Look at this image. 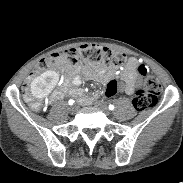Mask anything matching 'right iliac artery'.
<instances>
[{
  "mask_svg": "<svg viewBox=\"0 0 183 183\" xmlns=\"http://www.w3.org/2000/svg\"><path fill=\"white\" fill-rule=\"evenodd\" d=\"M68 103H69V105H73V104H74V100H73V99H70V100L68 101Z\"/></svg>",
  "mask_w": 183,
  "mask_h": 183,
  "instance_id": "right-iliac-artery-1",
  "label": "right iliac artery"
}]
</instances>
